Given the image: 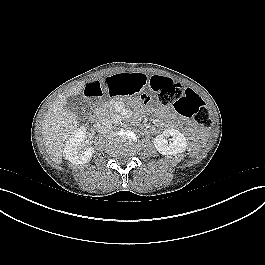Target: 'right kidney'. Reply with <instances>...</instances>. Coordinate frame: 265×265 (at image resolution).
<instances>
[{"label":"right kidney","mask_w":265,"mask_h":265,"mask_svg":"<svg viewBox=\"0 0 265 265\" xmlns=\"http://www.w3.org/2000/svg\"><path fill=\"white\" fill-rule=\"evenodd\" d=\"M86 139V128L76 129L65 143L63 156L72 164L79 165L88 163L94 154L93 147L82 148V143Z\"/></svg>","instance_id":"ca27d5eb"}]
</instances>
